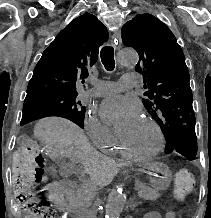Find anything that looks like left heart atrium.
Listing matches in <instances>:
<instances>
[{
  "label": "left heart atrium",
  "mask_w": 211,
  "mask_h": 218,
  "mask_svg": "<svg viewBox=\"0 0 211 218\" xmlns=\"http://www.w3.org/2000/svg\"><path fill=\"white\" fill-rule=\"evenodd\" d=\"M100 114L120 138L129 134L142 120V108L134 96L109 97L101 104Z\"/></svg>",
  "instance_id": "1"
}]
</instances>
